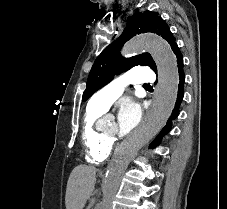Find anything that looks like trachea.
Returning <instances> with one entry per match:
<instances>
[{"label": "trachea", "mask_w": 227, "mask_h": 209, "mask_svg": "<svg viewBox=\"0 0 227 209\" xmlns=\"http://www.w3.org/2000/svg\"><path fill=\"white\" fill-rule=\"evenodd\" d=\"M144 86H146V87H151L150 84H144Z\"/></svg>", "instance_id": "3493384b"}]
</instances>
